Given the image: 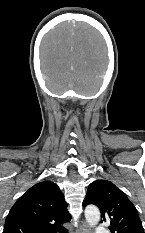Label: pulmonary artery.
I'll return each instance as SVG.
<instances>
[{
  "label": "pulmonary artery",
  "mask_w": 145,
  "mask_h": 233,
  "mask_svg": "<svg viewBox=\"0 0 145 233\" xmlns=\"http://www.w3.org/2000/svg\"><path fill=\"white\" fill-rule=\"evenodd\" d=\"M96 233H110L108 230L101 228V226H98L96 228Z\"/></svg>",
  "instance_id": "obj_1"
}]
</instances>
